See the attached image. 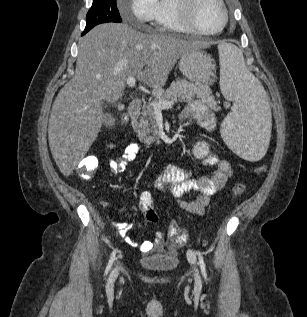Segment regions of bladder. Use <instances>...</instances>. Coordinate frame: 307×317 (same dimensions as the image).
I'll return each instance as SVG.
<instances>
[{
  "instance_id": "1",
  "label": "bladder",
  "mask_w": 307,
  "mask_h": 317,
  "mask_svg": "<svg viewBox=\"0 0 307 317\" xmlns=\"http://www.w3.org/2000/svg\"><path fill=\"white\" fill-rule=\"evenodd\" d=\"M139 263L150 271L167 272L176 268L178 257L176 255L143 256L139 259Z\"/></svg>"
}]
</instances>
